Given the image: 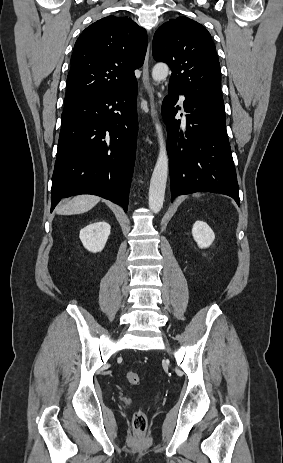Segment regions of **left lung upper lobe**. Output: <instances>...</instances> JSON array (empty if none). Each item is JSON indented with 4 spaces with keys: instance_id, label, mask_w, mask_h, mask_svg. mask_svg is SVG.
<instances>
[{
    "instance_id": "obj_1",
    "label": "left lung upper lobe",
    "mask_w": 283,
    "mask_h": 463,
    "mask_svg": "<svg viewBox=\"0 0 283 463\" xmlns=\"http://www.w3.org/2000/svg\"><path fill=\"white\" fill-rule=\"evenodd\" d=\"M152 53L171 68L169 86L199 109L225 119L216 48L201 24L187 17L170 19L155 32Z\"/></svg>"
}]
</instances>
